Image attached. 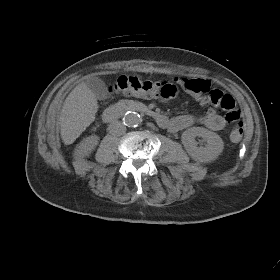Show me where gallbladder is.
<instances>
[{"mask_svg":"<svg viewBox=\"0 0 280 280\" xmlns=\"http://www.w3.org/2000/svg\"><path fill=\"white\" fill-rule=\"evenodd\" d=\"M86 85L92 90L97 99L105 100L108 98V89L101 78L91 77L86 81Z\"/></svg>","mask_w":280,"mask_h":280,"instance_id":"obj_1","label":"gallbladder"}]
</instances>
